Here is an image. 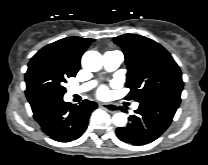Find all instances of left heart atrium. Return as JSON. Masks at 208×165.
Segmentation results:
<instances>
[{
  "mask_svg": "<svg viewBox=\"0 0 208 165\" xmlns=\"http://www.w3.org/2000/svg\"><path fill=\"white\" fill-rule=\"evenodd\" d=\"M100 97H106L108 95V90L106 87H101L98 91Z\"/></svg>",
  "mask_w": 208,
  "mask_h": 165,
  "instance_id": "obj_1",
  "label": "left heart atrium"
}]
</instances>
